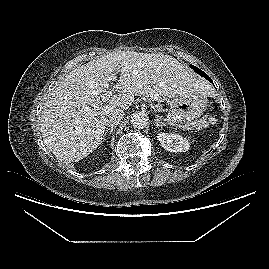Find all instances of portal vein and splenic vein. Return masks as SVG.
I'll list each match as a JSON object with an SVG mask.
<instances>
[{"instance_id":"portal-vein-and-splenic-vein-1","label":"portal vein and splenic vein","mask_w":269,"mask_h":269,"mask_svg":"<svg viewBox=\"0 0 269 269\" xmlns=\"http://www.w3.org/2000/svg\"><path fill=\"white\" fill-rule=\"evenodd\" d=\"M113 80H116V78H113ZM112 95H113L112 91H107L101 96V99L102 101L106 102Z\"/></svg>"}]
</instances>
